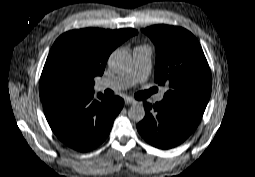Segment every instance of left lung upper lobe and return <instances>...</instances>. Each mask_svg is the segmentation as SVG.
<instances>
[{
  "instance_id": "1",
  "label": "left lung upper lobe",
  "mask_w": 255,
  "mask_h": 177,
  "mask_svg": "<svg viewBox=\"0 0 255 177\" xmlns=\"http://www.w3.org/2000/svg\"><path fill=\"white\" fill-rule=\"evenodd\" d=\"M156 46L154 80L168 85L164 98L208 103L211 72L202 48L186 29L155 25L142 30Z\"/></svg>"
}]
</instances>
